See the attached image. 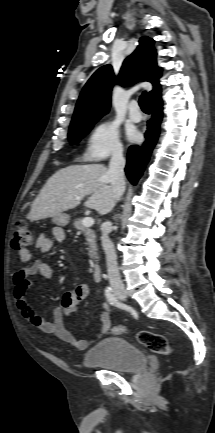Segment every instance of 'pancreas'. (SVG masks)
Listing matches in <instances>:
<instances>
[{"label": "pancreas", "instance_id": "cf45deb5", "mask_svg": "<svg viewBox=\"0 0 215 433\" xmlns=\"http://www.w3.org/2000/svg\"><path fill=\"white\" fill-rule=\"evenodd\" d=\"M74 227L81 231L87 240V245L89 246L88 248V254L90 256V258L96 259L97 258V245H96V236L95 233L92 229H90L89 227H86L83 225L82 220L81 219H76L74 221Z\"/></svg>", "mask_w": 215, "mask_h": 433}]
</instances>
